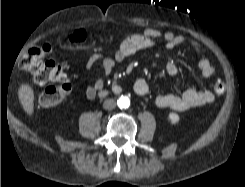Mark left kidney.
I'll return each instance as SVG.
<instances>
[{"label":"left kidney","instance_id":"1","mask_svg":"<svg viewBox=\"0 0 245 187\" xmlns=\"http://www.w3.org/2000/svg\"><path fill=\"white\" fill-rule=\"evenodd\" d=\"M168 120L170 121L171 124H176L179 121V116L177 113L170 112L168 115Z\"/></svg>","mask_w":245,"mask_h":187}]
</instances>
